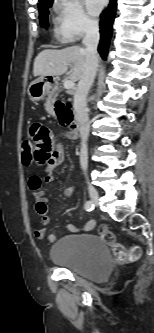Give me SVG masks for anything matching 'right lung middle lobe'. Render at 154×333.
<instances>
[{"label": "right lung middle lobe", "instance_id": "1", "mask_svg": "<svg viewBox=\"0 0 154 333\" xmlns=\"http://www.w3.org/2000/svg\"><path fill=\"white\" fill-rule=\"evenodd\" d=\"M53 0H43L39 3V18L40 24L44 27H48V8L51 7Z\"/></svg>", "mask_w": 154, "mask_h": 333}]
</instances>
